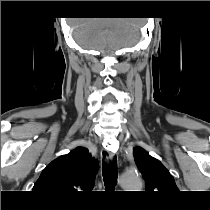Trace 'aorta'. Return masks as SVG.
<instances>
[{
	"mask_svg": "<svg viewBox=\"0 0 210 210\" xmlns=\"http://www.w3.org/2000/svg\"><path fill=\"white\" fill-rule=\"evenodd\" d=\"M120 183L126 191H139L143 186L141 178L136 174L130 173L123 174Z\"/></svg>",
	"mask_w": 210,
	"mask_h": 210,
	"instance_id": "762f6f07",
	"label": "aorta"
}]
</instances>
